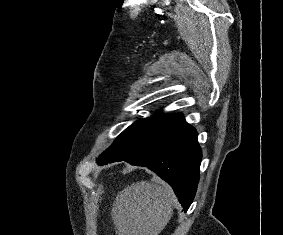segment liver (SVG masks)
<instances>
[{"mask_svg": "<svg viewBox=\"0 0 283 235\" xmlns=\"http://www.w3.org/2000/svg\"><path fill=\"white\" fill-rule=\"evenodd\" d=\"M176 196L161 180L141 181L116 197L111 216L117 235H159L173 215Z\"/></svg>", "mask_w": 283, "mask_h": 235, "instance_id": "1", "label": "liver"}]
</instances>
